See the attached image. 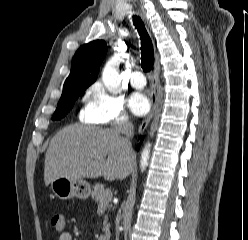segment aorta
Here are the masks:
<instances>
[{
	"mask_svg": "<svg viewBox=\"0 0 248 240\" xmlns=\"http://www.w3.org/2000/svg\"><path fill=\"white\" fill-rule=\"evenodd\" d=\"M119 57H112L105 65L102 72V81L105 87L112 93H117L120 86V79L118 75ZM150 157V145H146L141 153L140 167L142 171L148 165Z\"/></svg>",
	"mask_w": 248,
	"mask_h": 240,
	"instance_id": "762f6f07",
	"label": "aorta"
}]
</instances>
